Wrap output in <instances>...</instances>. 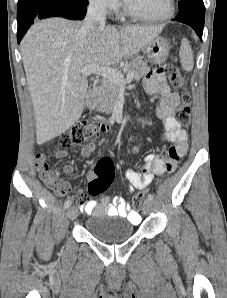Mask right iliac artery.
I'll return each instance as SVG.
<instances>
[{
	"label": "right iliac artery",
	"instance_id": "right-iliac-artery-1",
	"mask_svg": "<svg viewBox=\"0 0 227 298\" xmlns=\"http://www.w3.org/2000/svg\"><path fill=\"white\" fill-rule=\"evenodd\" d=\"M70 206H71V201L68 199V200H66L65 203H64V208L67 209V208H69Z\"/></svg>",
	"mask_w": 227,
	"mask_h": 298
}]
</instances>
